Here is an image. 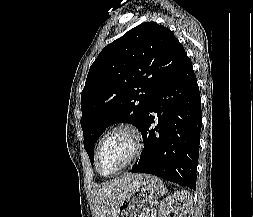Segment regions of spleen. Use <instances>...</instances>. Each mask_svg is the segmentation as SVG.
Here are the masks:
<instances>
[{
  "label": "spleen",
  "mask_w": 253,
  "mask_h": 217,
  "mask_svg": "<svg viewBox=\"0 0 253 217\" xmlns=\"http://www.w3.org/2000/svg\"><path fill=\"white\" fill-rule=\"evenodd\" d=\"M155 180L159 183V185H160V194L161 195H164L166 192H167V190H166V187L164 186V184L162 183V180H160L159 178H155Z\"/></svg>",
  "instance_id": "spleen-1"
}]
</instances>
